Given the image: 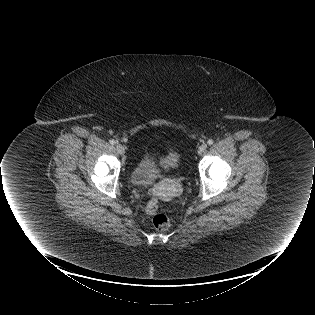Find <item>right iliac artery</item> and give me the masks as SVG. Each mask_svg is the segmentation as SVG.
Returning <instances> with one entry per match:
<instances>
[{
  "label": "right iliac artery",
  "instance_id": "82829eb1",
  "mask_svg": "<svg viewBox=\"0 0 315 315\" xmlns=\"http://www.w3.org/2000/svg\"><path fill=\"white\" fill-rule=\"evenodd\" d=\"M109 142H110V144H112V145L116 144L115 140H113V139H111Z\"/></svg>",
  "mask_w": 315,
  "mask_h": 315
}]
</instances>
